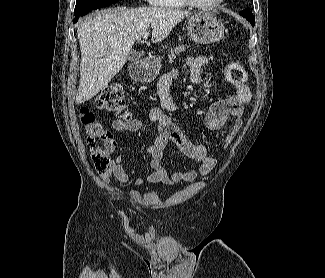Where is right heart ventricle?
Here are the masks:
<instances>
[{
    "mask_svg": "<svg viewBox=\"0 0 325 278\" xmlns=\"http://www.w3.org/2000/svg\"><path fill=\"white\" fill-rule=\"evenodd\" d=\"M154 5L174 9L186 7V4L183 2V0H155Z\"/></svg>",
    "mask_w": 325,
    "mask_h": 278,
    "instance_id": "e07e8e85",
    "label": "right heart ventricle"
}]
</instances>
